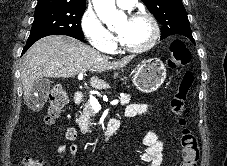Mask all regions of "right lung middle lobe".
<instances>
[{"instance_id": "1", "label": "right lung middle lobe", "mask_w": 227, "mask_h": 166, "mask_svg": "<svg viewBox=\"0 0 227 166\" xmlns=\"http://www.w3.org/2000/svg\"><path fill=\"white\" fill-rule=\"evenodd\" d=\"M85 7L68 5L36 6L32 29L27 42L49 35H67L83 40L81 18Z\"/></svg>"}]
</instances>
